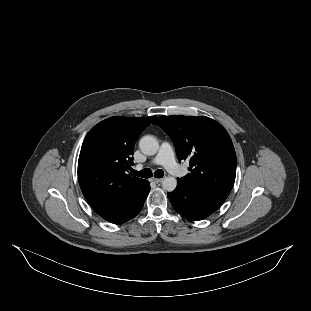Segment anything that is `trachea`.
Returning a JSON list of instances; mask_svg holds the SVG:
<instances>
[{
    "label": "trachea",
    "instance_id": "obj_1",
    "mask_svg": "<svg viewBox=\"0 0 311 311\" xmlns=\"http://www.w3.org/2000/svg\"><path fill=\"white\" fill-rule=\"evenodd\" d=\"M130 172L132 175L139 176L141 178H151L152 176L155 178H162L164 175V172L161 169H157L154 173H152L149 168H144L140 172L131 169Z\"/></svg>",
    "mask_w": 311,
    "mask_h": 311
}]
</instances>
